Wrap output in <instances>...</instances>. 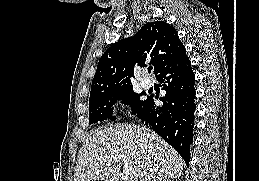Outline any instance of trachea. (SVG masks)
<instances>
[{
	"label": "trachea",
	"mask_w": 259,
	"mask_h": 181,
	"mask_svg": "<svg viewBox=\"0 0 259 181\" xmlns=\"http://www.w3.org/2000/svg\"><path fill=\"white\" fill-rule=\"evenodd\" d=\"M148 73H151V71H152V67H148Z\"/></svg>",
	"instance_id": "3493384b"
}]
</instances>
